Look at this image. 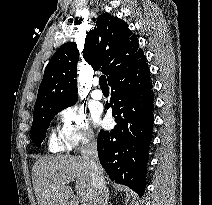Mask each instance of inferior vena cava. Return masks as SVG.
Masks as SVG:
<instances>
[{
	"instance_id": "inferior-vena-cava-1",
	"label": "inferior vena cava",
	"mask_w": 212,
	"mask_h": 205,
	"mask_svg": "<svg viewBox=\"0 0 212 205\" xmlns=\"http://www.w3.org/2000/svg\"><path fill=\"white\" fill-rule=\"evenodd\" d=\"M82 159L87 164L93 188L92 205H107V190L97 153V143L93 136L85 135L81 146Z\"/></svg>"
}]
</instances>
